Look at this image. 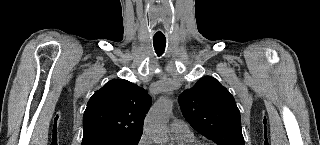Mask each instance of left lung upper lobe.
<instances>
[{
	"label": "left lung upper lobe",
	"instance_id": "1",
	"mask_svg": "<svg viewBox=\"0 0 320 145\" xmlns=\"http://www.w3.org/2000/svg\"><path fill=\"white\" fill-rule=\"evenodd\" d=\"M190 125L217 145H244L239 109L231 93L205 76L178 98Z\"/></svg>",
	"mask_w": 320,
	"mask_h": 145
}]
</instances>
